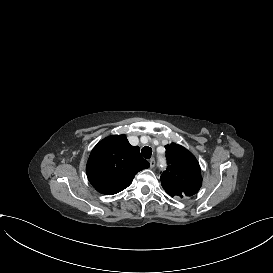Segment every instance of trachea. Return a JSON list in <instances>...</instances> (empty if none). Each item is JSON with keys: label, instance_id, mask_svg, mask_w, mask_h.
I'll return each instance as SVG.
<instances>
[{"label": "trachea", "instance_id": "3493384b", "mask_svg": "<svg viewBox=\"0 0 273 273\" xmlns=\"http://www.w3.org/2000/svg\"><path fill=\"white\" fill-rule=\"evenodd\" d=\"M141 154L145 159H149L152 155V149L150 147L145 146L141 149Z\"/></svg>", "mask_w": 273, "mask_h": 273}]
</instances>
